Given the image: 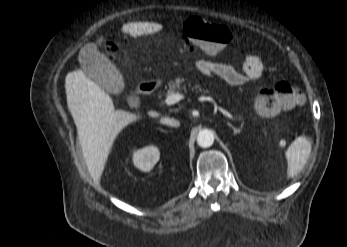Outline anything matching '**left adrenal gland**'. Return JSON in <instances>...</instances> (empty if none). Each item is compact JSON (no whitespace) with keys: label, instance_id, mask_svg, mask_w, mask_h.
I'll return each mask as SVG.
<instances>
[{"label":"left adrenal gland","instance_id":"obj_1","mask_svg":"<svg viewBox=\"0 0 347 247\" xmlns=\"http://www.w3.org/2000/svg\"><path fill=\"white\" fill-rule=\"evenodd\" d=\"M227 125L230 127V128H232L233 129V131H234V135H237V134H239L240 132H241V130L240 129H237L236 127H234L231 123H229V122H227ZM242 123H241V127H242Z\"/></svg>","mask_w":347,"mask_h":247}]
</instances>
